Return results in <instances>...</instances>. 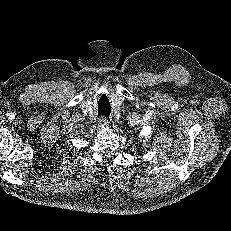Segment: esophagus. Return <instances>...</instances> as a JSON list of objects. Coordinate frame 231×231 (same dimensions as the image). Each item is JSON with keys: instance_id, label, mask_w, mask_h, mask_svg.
<instances>
[{"instance_id": "34e87169", "label": "esophagus", "mask_w": 231, "mask_h": 231, "mask_svg": "<svg viewBox=\"0 0 231 231\" xmlns=\"http://www.w3.org/2000/svg\"><path fill=\"white\" fill-rule=\"evenodd\" d=\"M98 123L100 126H106L108 123H109V120L106 116H101L99 119H98Z\"/></svg>"}]
</instances>
